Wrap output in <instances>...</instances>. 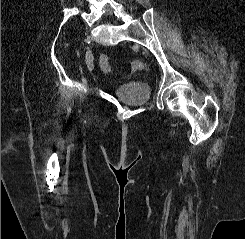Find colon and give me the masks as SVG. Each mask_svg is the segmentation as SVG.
Returning a JSON list of instances; mask_svg holds the SVG:
<instances>
[{
	"label": "colon",
	"mask_w": 245,
	"mask_h": 239,
	"mask_svg": "<svg viewBox=\"0 0 245 239\" xmlns=\"http://www.w3.org/2000/svg\"><path fill=\"white\" fill-rule=\"evenodd\" d=\"M100 66L105 71H110V59L106 55H101L99 58Z\"/></svg>",
	"instance_id": "colon-1"
}]
</instances>
